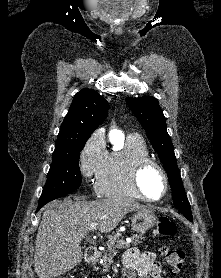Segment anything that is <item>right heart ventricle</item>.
Instances as JSON below:
<instances>
[{"instance_id":"e07e8e85","label":"right heart ventricle","mask_w":221,"mask_h":278,"mask_svg":"<svg viewBox=\"0 0 221 278\" xmlns=\"http://www.w3.org/2000/svg\"><path fill=\"white\" fill-rule=\"evenodd\" d=\"M150 157L147 144L137 134H130L122 149L108 152L105 165L96 177L97 191L106 197L140 198L131 184V168L135 161Z\"/></svg>"}]
</instances>
